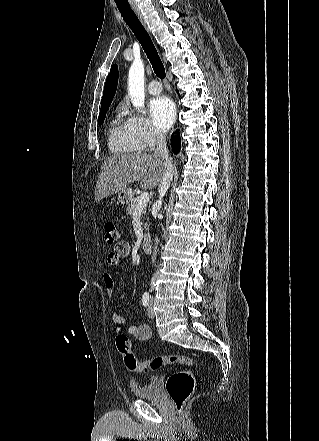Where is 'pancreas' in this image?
<instances>
[{
    "instance_id": "1",
    "label": "pancreas",
    "mask_w": 319,
    "mask_h": 441,
    "mask_svg": "<svg viewBox=\"0 0 319 441\" xmlns=\"http://www.w3.org/2000/svg\"><path fill=\"white\" fill-rule=\"evenodd\" d=\"M138 200H139V197L134 198L128 204L127 209H126L127 215H129V216H133L134 215V213L136 211V208H137V205H138ZM144 228L145 229L147 228V224H145Z\"/></svg>"
}]
</instances>
